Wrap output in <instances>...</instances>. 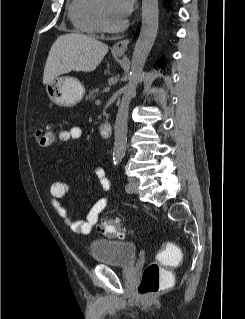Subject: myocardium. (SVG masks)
Listing matches in <instances>:
<instances>
[{
  "mask_svg": "<svg viewBox=\"0 0 245 319\" xmlns=\"http://www.w3.org/2000/svg\"><path fill=\"white\" fill-rule=\"evenodd\" d=\"M98 15H99L101 29L104 32L116 33V32H120V31L124 30L127 27L126 21H121L119 23H113L108 19L107 14L102 6V0L99 1Z\"/></svg>",
  "mask_w": 245,
  "mask_h": 319,
  "instance_id": "f54148a6",
  "label": "myocardium"
}]
</instances>
